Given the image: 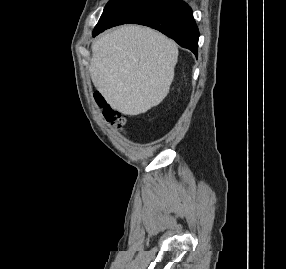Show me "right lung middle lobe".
<instances>
[{
  "instance_id": "right-lung-middle-lobe-1",
  "label": "right lung middle lobe",
  "mask_w": 286,
  "mask_h": 269,
  "mask_svg": "<svg viewBox=\"0 0 286 269\" xmlns=\"http://www.w3.org/2000/svg\"><path fill=\"white\" fill-rule=\"evenodd\" d=\"M161 0H109L94 31L106 30L127 23L136 15Z\"/></svg>"
}]
</instances>
